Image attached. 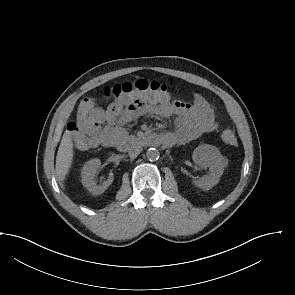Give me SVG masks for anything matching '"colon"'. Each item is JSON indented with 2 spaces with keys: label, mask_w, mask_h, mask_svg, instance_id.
Listing matches in <instances>:
<instances>
[{
  "label": "colon",
  "mask_w": 295,
  "mask_h": 295,
  "mask_svg": "<svg viewBox=\"0 0 295 295\" xmlns=\"http://www.w3.org/2000/svg\"><path fill=\"white\" fill-rule=\"evenodd\" d=\"M166 85L157 81L137 80L119 83L113 86H107L103 89L102 93L105 97L119 98L125 94L142 92H163L166 91ZM96 108V100L94 97H87L83 99L79 105L76 126H83L87 118L92 114ZM221 139L228 145H235L237 138L235 132L231 128H225L221 132Z\"/></svg>",
  "instance_id": "obj_1"
}]
</instances>
